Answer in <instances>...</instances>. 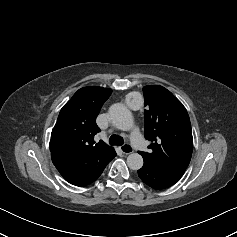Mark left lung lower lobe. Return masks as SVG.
<instances>
[{"label": "left lung lower lobe", "mask_w": 237, "mask_h": 237, "mask_svg": "<svg viewBox=\"0 0 237 237\" xmlns=\"http://www.w3.org/2000/svg\"><path fill=\"white\" fill-rule=\"evenodd\" d=\"M138 176L153 189H165L175 184L182 175L144 162L143 167L138 170Z\"/></svg>", "instance_id": "1"}]
</instances>
